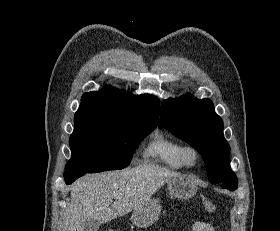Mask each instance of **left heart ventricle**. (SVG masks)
<instances>
[{
  "label": "left heart ventricle",
  "mask_w": 280,
  "mask_h": 231,
  "mask_svg": "<svg viewBox=\"0 0 280 231\" xmlns=\"http://www.w3.org/2000/svg\"><path fill=\"white\" fill-rule=\"evenodd\" d=\"M185 160L190 166H195L197 163V157L194 151L189 150L185 154Z\"/></svg>",
  "instance_id": "left-heart-ventricle-1"
}]
</instances>
